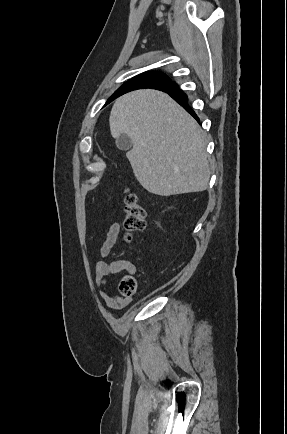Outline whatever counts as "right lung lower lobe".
I'll use <instances>...</instances> for the list:
<instances>
[{
  "label": "right lung lower lobe",
  "instance_id": "1",
  "mask_svg": "<svg viewBox=\"0 0 287 434\" xmlns=\"http://www.w3.org/2000/svg\"><path fill=\"white\" fill-rule=\"evenodd\" d=\"M168 93L176 102H178L181 106H183L197 121H199L198 117L194 113L193 110L189 107L187 103V95L184 94L176 83H170L165 86V88L158 89Z\"/></svg>",
  "mask_w": 287,
  "mask_h": 434
}]
</instances>
